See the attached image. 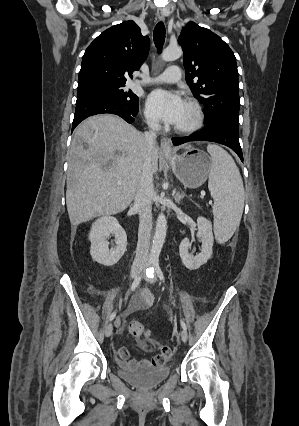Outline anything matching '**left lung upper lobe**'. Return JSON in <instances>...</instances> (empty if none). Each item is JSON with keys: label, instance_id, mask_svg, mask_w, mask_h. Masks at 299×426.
I'll use <instances>...</instances> for the list:
<instances>
[{"label": "left lung upper lobe", "instance_id": "1", "mask_svg": "<svg viewBox=\"0 0 299 426\" xmlns=\"http://www.w3.org/2000/svg\"><path fill=\"white\" fill-rule=\"evenodd\" d=\"M178 43L184 52L187 84L205 106L206 123L225 122L239 127L238 70L230 47L192 21L182 29Z\"/></svg>", "mask_w": 299, "mask_h": 426}]
</instances>
